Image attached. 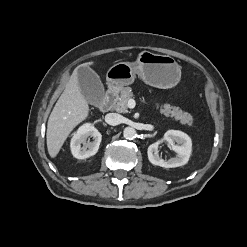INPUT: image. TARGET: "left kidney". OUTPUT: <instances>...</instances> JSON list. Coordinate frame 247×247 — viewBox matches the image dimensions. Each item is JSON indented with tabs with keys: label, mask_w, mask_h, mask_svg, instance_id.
Returning a JSON list of instances; mask_svg holds the SVG:
<instances>
[{
	"label": "left kidney",
	"mask_w": 247,
	"mask_h": 247,
	"mask_svg": "<svg viewBox=\"0 0 247 247\" xmlns=\"http://www.w3.org/2000/svg\"><path fill=\"white\" fill-rule=\"evenodd\" d=\"M163 141L170 145L172 150L176 152V157H173L168 161L159 157L158 146ZM175 142L177 144H175ZM191 151L192 141L186 133L178 130H168L161 140H158L148 147L147 154L148 159L152 164L164 168H175L183 166L188 162Z\"/></svg>",
	"instance_id": "left-kidney-1"
}]
</instances>
